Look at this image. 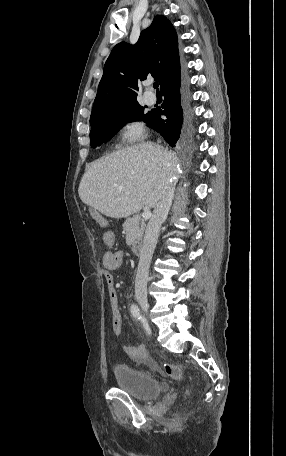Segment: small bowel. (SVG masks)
<instances>
[{"label": "small bowel", "instance_id": "obj_1", "mask_svg": "<svg viewBox=\"0 0 286 456\" xmlns=\"http://www.w3.org/2000/svg\"><path fill=\"white\" fill-rule=\"evenodd\" d=\"M103 241L106 245L112 246L114 244V234L111 231H107L103 235ZM126 252L125 251H116V252H106L102 259V264L104 267L103 277L106 283L110 306H111V325L114 333L120 335L123 330V320L118 304V295L115 287V279L112 271L120 268L125 260ZM124 352L131 359L138 361L135 353L139 350H145V347L142 345L136 346H124Z\"/></svg>", "mask_w": 286, "mask_h": 456}]
</instances>
